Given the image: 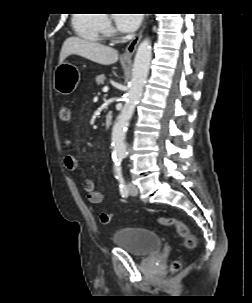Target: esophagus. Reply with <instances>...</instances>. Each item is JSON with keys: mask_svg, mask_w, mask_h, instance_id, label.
<instances>
[{"mask_svg": "<svg viewBox=\"0 0 252 303\" xmlns=\"http://www.w3.org/2000/svg\"><path fill=\"white\" fill-rule=\"evenodd\" d=\"M145 26H146V20L144 21V24H143L141 30L139 31V33L127 45V47L122 55L123 60L130 61L132 59V56L137 48V45L142 38Z\"/></svg>", "mask_w": 252, "mask_h": 303, "instance_id": "esophagus-1", "label": "esophagus"}]
</instances>
